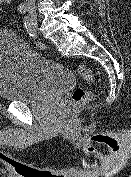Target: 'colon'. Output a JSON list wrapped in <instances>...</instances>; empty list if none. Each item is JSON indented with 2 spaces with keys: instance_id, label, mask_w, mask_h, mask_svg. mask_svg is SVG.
<instances>
[{
  "instance_id": "1",
  "label": "colon",
  "mask_w": 131,
  "mask_h": 177,
  "mask_svg": "<svg viewBox=\"0 0 131 177\" xmlns=\"http://www.w3.org/2000/svg\"><path fill=\"white\" fill-rule=\"evenodd\" d=\"M14 3V0H0V9L7 10ZM75 71L88 83H95V75L93 71L82 64L75 65ZM92 98V91L87 88L77 87L71 93L70 109L74 110L81 105L88 103Z\"/></svg>"
}]
</instances>
